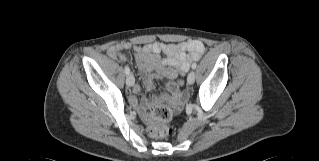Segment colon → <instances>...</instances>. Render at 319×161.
Segmentation results:
<instances>
[{"instance_id": "5ec220e1", "label": "colon", "mask_w": 319, "mask_h": 161, "mask_svg": "<svg viewBox=\"0 0 319 161\" xmlns=\"http://www.w3.org/2000/svg\"><path fill=\"white\" fill-rule=\"evenodd\" d=\"M177 89V84L171 81L168 84L167 90L174 93ZM166 95H161L164 99ZM172 117V112L166 105H158L149 113V126L147 132L152 138H165L170 134L171 128L168 124Z\"/></svg>"}]
</instances>
